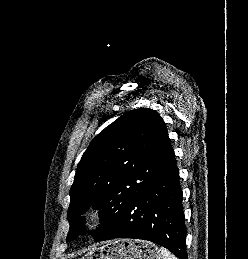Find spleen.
<instances>
[{
	"label": "spleen",
	"mask_w": 248,
	"mask_h": 259,
	"mask_svg": "<svg viewBox=\"0 0 248 259\" xmlns=\"http://www.w3.org/2000/svg\"><path fill=\"white\" fill-rule=\"evenodd\" d=\"M162 259H177L169 250L164 247L160 248Z\"/></svg>",
	"instance_id": "obj_1"
}]
</instances>
